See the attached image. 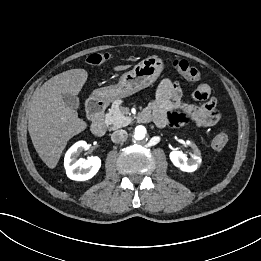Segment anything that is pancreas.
I'll use <instances>...</instances> for the list:
<instances>
[{"instance_id": "pancreas-1", "label": "pancreas", "mask_w": 261, "mask_h": 261, "mask_svg": "<svg viewBox=\"0 0 261 261\" xmlns=\"http://www.w3.org/2000/svg\"><path fill=\"white\" fill-rule=\"evenodd\" d=\"M131 118L125 116V107L120 106V101H115L109 112L106 114L105 123L110 126L111 130L127 126Z\"/></svg>"}]
</instances>
